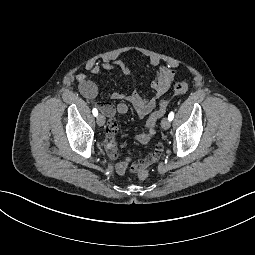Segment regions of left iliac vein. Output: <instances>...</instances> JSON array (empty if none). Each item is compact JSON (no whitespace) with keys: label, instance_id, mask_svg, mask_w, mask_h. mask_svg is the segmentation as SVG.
<instances>
[{"label":"left iliac vein","instance_id":"4c4485c4","mask_svg":"<svg viewBox=\"0 0 255 255\" xmlns=\"http://www.w3.org/2000/svg\"><path fill=\"white\" fill-rule=\"evenodd\" d=\"M170 120L168 118H163V120L161 121V127L164 129V130H167L170 128Z\"/></svg>","mask_w":255,"mask_h":255}]
</instances>
